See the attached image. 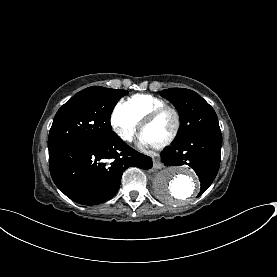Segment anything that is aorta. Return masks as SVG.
I'll list each match as a JSON object with an SVG mask.
<instances>
[{
    "mask_svg": "<svg viewBox=\"0 0 277 277\" xmlns=\"http://www.w3.org/2000/svg\"><path fill=\"white\" fill-rule=\"evenodd\" d=\"M157 195L169 204L185 203L200 191L196 174L186 168H166L154 181Z\"/></svg>",
    "mask_w": 277,
    "mask_h": 277,
    "instance_id": "762f6f07",
    "label": "aorta"
}]
</instances>
